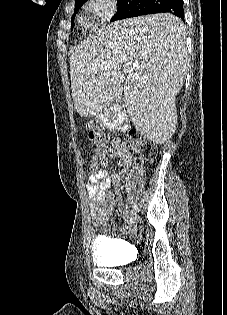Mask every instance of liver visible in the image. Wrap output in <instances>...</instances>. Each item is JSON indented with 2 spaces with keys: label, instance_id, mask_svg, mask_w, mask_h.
I'll use <instances>...</instances> for the list:
<instances>
[{
  "label": "liver",
  "instance_id": "obj_1",
  "mask_svg": "<svg viewBox=\"0 0 227 315\" xmlns=\"http://www.w3.org/2000/svg\"><path fill=\"white\" fill-rule=\"evenodd\" d=\"M188 70L181 19L160 13L116 21L71 55L74 106L81 117H91L123 98L139 133L163 144L176 130V95Z\"/></svg>",
  "mask_w": 227,
  "mask_h": 315
}]
</instances>
